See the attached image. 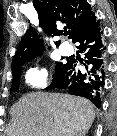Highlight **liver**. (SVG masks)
Masks as SVG:
<instances>
[{"mask_svg":"<svg viewBox=\"0 0 117 136\" xmlns=\"http://www.w3.org/2000/svg\"><path fill=\"white\" fill-rule=\"evenodd\" d=\"M10 113L8 136H85L95 117L87 99L48 92L22 96Z\"/></svg>","mask_w":117,"mask_h":136,"instance_id":"1","label":"liver"}]
</instances>
